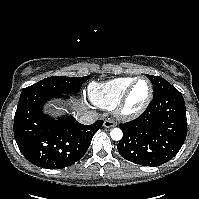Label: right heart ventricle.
<instances>
[{"label":"right heart ventricle","mask_w":199,"mask_h":199,"mask_svg":"<svg viewBox=\"0 0 199 199\" xmlns=\"http://www.w3.org/2000/svg\"><path fill=\"white\" fill-rule=\"evenodd\" d=\"M133 79L120 77L101 83L93 82L88 87L89 98L96 106L111 109L116 106Z\"/></svg>","instance_id":"obj_1"}]
</instances>
